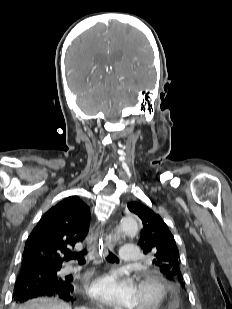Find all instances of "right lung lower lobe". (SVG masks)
Here are the masks:
<instances>
[{
	"mask_svg": "<svg viewBox=\"0 0 232 309\" xmlns=\"http://www.w3.org/2000/svg\"><path fill=\"white\" fill-rule=\"evenodd\" d=\"M20 273L22 274L34 273L40 275L45 272L38 273V271L37 272L34 271L33 266L31 264L27 263L22 264ZM73 290L74 288L71 284V279L68 277L63 278L62 280H59L56 283L52 284L34 283L30 280L17 278L14 287L13 300L15 302L22 303L29 299L40 296H56L69 302L74 300Z\"/></svg>",
	"mask_w": 232,
	"mask_h": 309,
	"instance_id": "right-lung-lower-lobe-1",
	"label": "right lung lower lobe"
}]
</instances>
